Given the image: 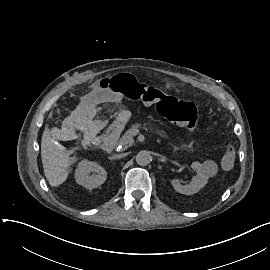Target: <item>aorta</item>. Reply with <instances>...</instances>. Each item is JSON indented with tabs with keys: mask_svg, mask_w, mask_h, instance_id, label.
I'll use <instances>...</instances> for the list:
<instances>
[{
	"mask_svg": "<svg viewBox=\"0 0 270 270\" xmlns=\"http://www.w3.org/2000/svg\"><path fill=\"white\" fill-rule=\"evenodd\" d=\"M151 161V156L148 151H140L136 155V162L138 165L145 166L148 165Z\"/></svg>",
	"mask_w": 270,
	"mask_h": 270,
	"instance_id": "762f6f07",
	"label": "aorta"
}]
</instances>
